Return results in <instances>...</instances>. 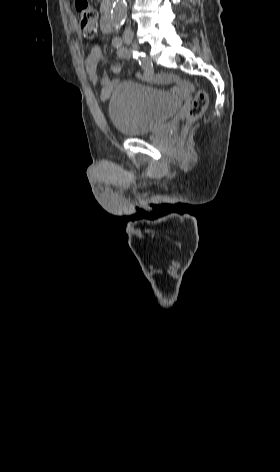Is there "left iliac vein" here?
Wrapping results in <instances>:
<instances>
[{
  "instance_id": "left-iliac-vein-1",
  "label": "left iliac vein",
  "mask_w": 280,
  "mask_h": 472,
  "mask_svg": "<svg viewBox=\"0 0 280 472\" xmlns=\"http://www.w3.org/2000/svg\"><path fill=\"white\" fill-rule=\"evenodd\" d=\"M123 40L125 43L129 44L131 42V36L128 33H125L123 36Z\"/></svg>"
}]
</instances>
